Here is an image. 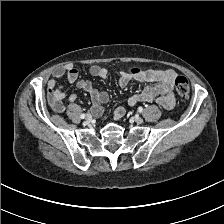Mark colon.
<instances>
[{"instance_id":"obj_1","label":"colon","mask_w":224,"mask_h":224,"mask_svg":"<svg viewBox=\"0 0 224 224\" xmlns=\"http://www.w3.org/2000/svg\"><path fill=\"white\" fill-rule=\"evenodd\" d=\"M131 72L133 74L139 73L140 69L139 68H133L131 70ZM174 87L175 90L177 92V94L181 97V98H187L190 92V86H189V82L187 80V78H185L184 76H178L175 78L174 80Z\"/></svg>"}]
</instances>
